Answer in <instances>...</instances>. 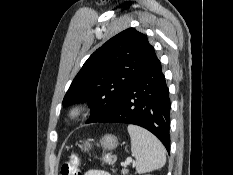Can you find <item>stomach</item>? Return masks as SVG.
<instances>
[{"mask_svg":"<svg viewBox=\"0 0 233 175\" xmlns=\"http://www.w3.org/2000/svg\"><path fill=\"white\" fill-rule=\"evenodd\" d=\"M101 145L104 149L106 150H113L117 147L118 145V139L114 135H105L102 138ZM81 148L85 151L89 150L91 148V144L89 142H85Z\"/></svg>","mask_w":233,"mask_h":175,"instance_id":"0dacf381","label":"stomach"}]
</instances>
